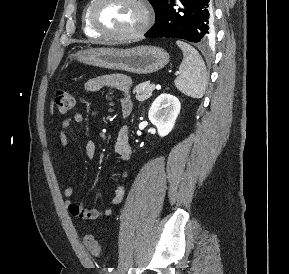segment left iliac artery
Masks as SVG:
<instances>
[{
	"label": "left iliac artery",
	"mask_w": 289,
	"mask_h": 274,
	"mask_svg": "<svg viewBox=\"0 0 289 274\" xmlns=\"http://www.w3.org/2000/svg\"><path fill=\"white\" fill-rule=\"evenodd\" d=\"M113 270V268H109L108 271L111 272Z\"/></svg>",
	"instance_id": "44dca946"
}]
</instances>
